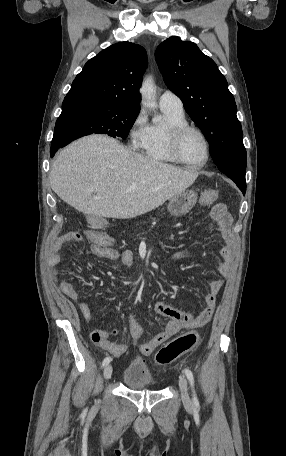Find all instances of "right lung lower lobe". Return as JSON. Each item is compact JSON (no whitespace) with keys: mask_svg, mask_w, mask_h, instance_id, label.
I'll list each match as a JSON object with an SVG mask.
<instances>
[{"mask_svg":"<svg viewBox=\"0 0 286 456\" xmlns=\"http://www.w3.org/2000/svg\"><path fill=\"white\" fill-rule=\"evenodd\" d=\"M60 147H62L61 144L52 142L51 149H50V156L53 157L54 154H55V152H56Z\"/></svg>","mask_w":286,"mask_h":456,"instance_id":"1","label":"right lung lower lobe"}]
</instances>
